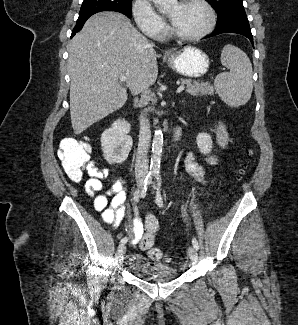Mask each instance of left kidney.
<instances>
[{
    "label": "left kidney",
    "mask_w": 298,
    "mask_h": 325,
    "mask_svg": "<svg viewBox=\"0 0 298 325\" xmlns=\"http://www.w3.org/2000/svg\"><path fill=\"white\" fill-rule=\"evenodd\" d=\"M196 142L201 152H204V154L211 152L213 140L208 132H199L196 136Z\"/></svg>",
    "instance_id": "obj_1"
}]
</instances>
